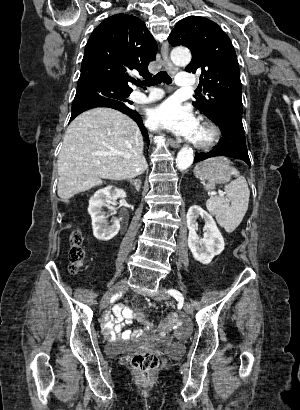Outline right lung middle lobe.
<instances>
[{"mask_svg": "<svg viewBox=\"0 0 300 410\" xmlns=\"http://www.w3.org/2000/svg\"><path fill=\"white\" fill-rule=\"evenodd\" d=\"M131 91H125L99 82H78L72 110L88 104L109 102L129 107L126 97Z\"/></svg>", "mask_w": 300, "mask_h": 410, "instance_id": "right-lung-middle-lobe-1", "label": "right lung middle lobe"}]
</instances>
